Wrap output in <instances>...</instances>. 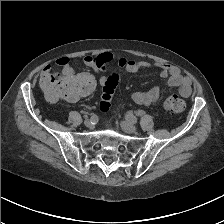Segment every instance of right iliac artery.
<instances>
[{"label":"right iliac artery","instance_id":"1","mask_svg":"<svg viewBox=\"0 0 224 224\" xmlns=\"http://www.w3.org/2000/svg\"><path fill=\"white\" fill-rule=\"evenodd\" d=\"M90 120L93 122V124H95L98 121V116L96 114H93L91 116V119Z\"/></svg>","mask_w":224,"mask_h":224}]
</instances>
